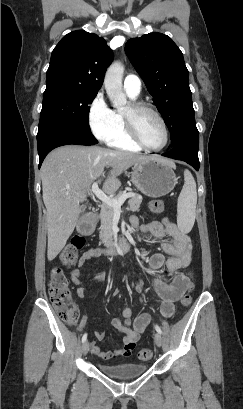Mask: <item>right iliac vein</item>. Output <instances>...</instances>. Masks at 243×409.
Segmentation results:
<instances>
[{
    "instance_id": "right-iliac-vein-1",
    "label": "right iliac vein",
    "mask_w": 243,
    "mask_h": 409,
    "mask_svg": "<svg viewBox=\"0 0 243 409\" xmlns=\"http://www.w3.org/2000/svg\"><path fill=\"white\" fill-rule=\"evenodd\" d=\"M89 349H90L89 342L88 341L84 342L82 346L83 354L86 355L89 352Z\"/></svg>"
}]
</instances>
